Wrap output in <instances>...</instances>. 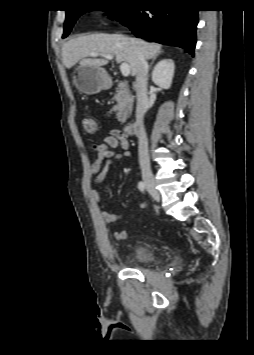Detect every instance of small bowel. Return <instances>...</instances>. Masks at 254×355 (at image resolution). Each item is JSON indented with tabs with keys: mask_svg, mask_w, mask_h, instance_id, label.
<instances>
[{
	"mask_svg": "<svg viewBox=\"0 0 254 355\" xmlns=\"http://www.w3.org/2000/svg\"><path fill=\"white\" fill-rule=\"evenodd\" d=\"M130 142L127 135H125L120 130H113L109 135L102 139L101 143L93 144L92 148L95 152V160L91 165V172L96 175L95 182L100 184L106 178V175L111 167V165L121 159L128 158L131 156L129 151ZM117 149L122 150V153H118ZM90 196L94 202L100 204L101 197L96 189H93ZM147 206L146 202L141 200L138 202L139 209H145ZM100 214L106 223L112 224L121 219V216L117 214L110 213L100 207ZM130 215L129 218H132ZM114 238L118 241L125 240L127 238V232L125 230H119L114 233Z\"/></svg>",
	"mask_w": 254,
	"mask_h": 355,
	"instance_id": "small-bowel-1",
	"label": "small bowel"
}]
</instances>
